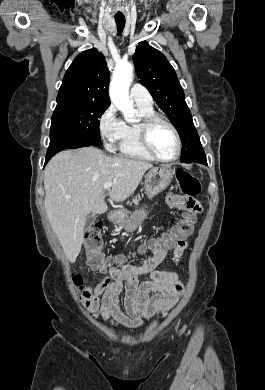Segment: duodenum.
Instances as JSON below:
<instances>
[{"label":"duodenum","instance_id":"410a0bca","mask_svg":"<svg viewBox=\"0 0 265 390\" xmlns=\"http://www.w3.org/2000/svg\"><path fill=\"white\" fill-rule=\"evenodd\" d=\"M108 220L110 222H117L119 220V215L116 212H109L108 214Z\"/></svg>","mask_w":265,"mask_h":390}]
</instances>
